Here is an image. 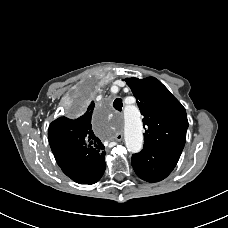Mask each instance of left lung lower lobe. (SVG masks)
Segmentation results:
<instances>
[{"instance_id":"1","label":"left lung lower lobe","mask_w":228,"mask_h":228,"mask_svg":"<svg viewBox=\"0 0 228 228\" xmlns=\"http://www.w3.org/2000/svg\"><path fill=\"white\" fill-rule=\"evenodd\" d=\"M181 153L144 146L142 151L132 155V166L138 177L148 182L166 178L176 166Z\"/></svg>"}]
</instances>
